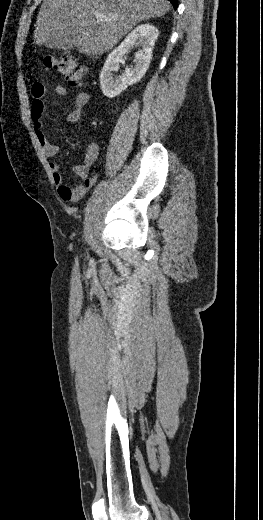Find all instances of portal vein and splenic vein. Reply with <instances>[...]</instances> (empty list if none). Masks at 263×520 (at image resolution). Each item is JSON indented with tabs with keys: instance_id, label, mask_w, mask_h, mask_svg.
<instances>
[{
	"instance_id": "1",
	"label": "portal vein and splenic vein",
	"mask_w": 263,
	"mask_h": 520,
	"mask_svg": "<svg viewBox=\"0 0 263 520\" xmlns=\"http://www.w3.org/2000/svg\"><path fill=\"white\" fill-rule=\"evenodd\" d=\"M95 17H96V19H99V20H103V19H106V20H115V19H117V16H114V15H109V16H107V15H105V14H103V13H100V12L95 13Z\"/></svg>"
}]
</instances>
